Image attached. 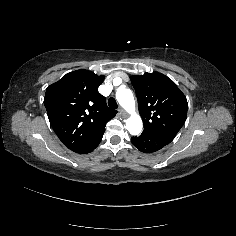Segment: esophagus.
Returning a JSON list of instances; mask_svg holds the SVG:
<instances>
[{
	"mask_svg": "<svg viewBox=\"0 0 236 236\" xmlns=\"http://www.w3.org/2000/svg\"><path fill=\"white\" fill-rule=\"evenodd\" d=\"M119 113H120V115H121L123 118L127 116L126 111H125L124 109H122V108H119Z\"/></svg>",
	"mask_w": 236,
	"mask_h": 236,
	"instance_id": "34e87169",
	"label": "esophagus"
}]
</instances>
